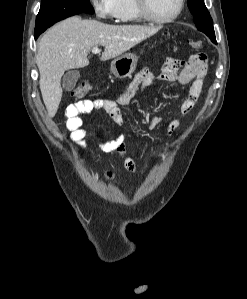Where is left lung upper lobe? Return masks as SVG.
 <instances>
[{"label": "left lung upper lobe", "mask_w": 247, "mask_h": 299, "mask_svg": "<svg viewBox=\"0 0 247 299\" xmlns=\"http://www.w3.org/2000/svg\"><path fill=\"white\" fill-rule=\"evenodd\" d=\"M188 7L194 17L197 29L210 37L211 41H216L213 21L204 4V0H188Z\"/></svg>", "instance_id": "1"}]
</instances>
